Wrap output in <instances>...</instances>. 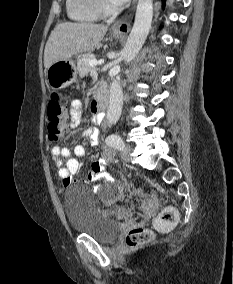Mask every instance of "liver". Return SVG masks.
Here are the masks:
<instances>
[{
  "instance_id": "obj_1",
  "label": "liver",
  "mask_w": 233,
  "mask_h": 284,
  "mask_svg": "<svg viewBox=\"0 0 233 284\" xmlns=\"http://www.w3.org/2000/svg\"><path fill=\"white\" fill-rule=\"evenodd\" d=\"M108 27L91 23L64 22L51 32L44 50V67L96 48Z\"/></svg>"
}]
</instances>
